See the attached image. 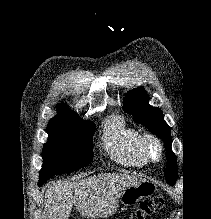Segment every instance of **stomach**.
I'll use <instances>...</instances> for the list:
<instances>
[{"label":"stomach","instance_id":"obj_1","mask_svg":"<svg viewBox=\"0 0 211 219\" xmlns=\"http://www.w3.org/2000/svg\"><path fill=\"white\" fill-rule=\"evenodd\" d=\"M156 191V185L149 181H143L138 185L126 188L119 197L124 206H133L140 199L149 196Z\"/></svg>","mask_w":211,"mask_h":219}]
</instances>
